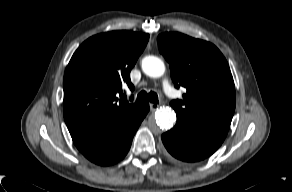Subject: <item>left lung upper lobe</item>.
Here are the masks:
<instances>
[{"label": "left lung upper lobe", "instance_id": "obj_1", "mask_svg": "<svg viewBox=\"0 0 292 192\" xmlns=\"http://www.w3.org/2000/svg\"><path fill=\"white\" fill-rule=\"evenodd\" d=\"M157 41L176 88L187 90L182 100L171 102L177 122L227 133L236 96L230 68L219 49L177 32L160 34Z\"/></svg>", "mask_w": 292, "mask_h": 192}]
</instances>
